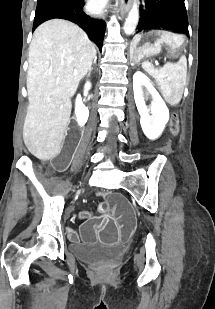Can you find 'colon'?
<instances>
[{"instance_id": "5ec220e1", "label": "colon", "mask_w": 215, "mask_h": 309, "mask_svg": "<svg viewBox=\"0 0 215 309\" xmlns=\"http://www.w3.org/2000/svg\"><path fill=\"white\" fill-rule=\"evenodd\" d=\"M171 123H172V131L176 133L178 131V125H179V119L176 113L172 114Z\"/></svg>"}]
</instances>
